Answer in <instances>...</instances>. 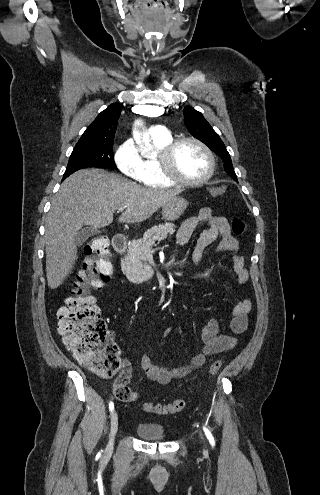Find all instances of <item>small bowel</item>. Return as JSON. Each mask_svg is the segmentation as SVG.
<instances>
[{
  "instance_id": "c3829d8e",
  "label": "small bowel",
  "mask_w": 320,
  "mask_h": 495,
  "mask_svg": "<svg viewBox=\"0 0 320 495\" xmlns=\"http://www.w3.org/2000/svg\"><path fill=\"white\" fill-rule=\"evenodd\" d=\"M200 224H206L207 228L200 234L195 249L192 254L194 264H199L203 252L207 246L219 239L216 250L218 252L233 253V271L239 285H245L248 281V271L244 264V258L239 253V240L233 235L227 218L217 216L210 208H203L200 212L186 219L180 226L177 234V243L180 246L187 244L193 232ZM251 310V301L246 296L236 302L232 310L230 329L232 334L219 333V321L217 318L210 319L201 331L202 348L201 352L191 357L184 365L178 367L161 366L144 355L141 358V368L150 380L166 385L173 379H180L189 375L195 369L201 367L206 360L218 353L228 351L237 344L236 334L244 332L247 328V314ZM172 335V328L168 327L164 331V337L169 339ZM121 374L127 375L130 379L131 370L125 365Z\"/></svg>"
}]
</instances>
